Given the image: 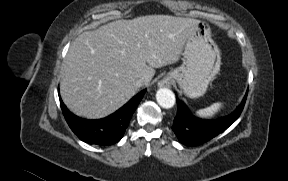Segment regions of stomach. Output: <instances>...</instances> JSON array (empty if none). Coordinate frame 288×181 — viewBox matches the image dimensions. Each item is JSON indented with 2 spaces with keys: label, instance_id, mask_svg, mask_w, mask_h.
<instances>
[{
  "label": "stomach",
  "instance_id": "1",
  "mask_svg": "<svg viewBox=\"0 0 288 181\" xmlns=\"http://www.w3.org/2000/svg\"><path fill=\"white\" fill-rule=\"evenodd\" d=\"M182 56V65L168 72L163 82L175 81L186 96L200 97L205 94L221 65L220 50L211 38L208 23L197 22L185 44Z\"/></svg>",
  "mask_w": 288,
  "mask_h": 181
}]
</instances>
